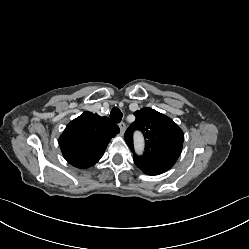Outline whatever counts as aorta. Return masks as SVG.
I'll use <instances>...</instances> for the list:
<instances>
[{"label":"aorta","instance_id":"aorta-1","mask_svg":"<svg viewBox=\"0 0 249 249\" xmlns=\"http://www.w3.org/2000/svg\"><path fill=\"white\" fill-rule=\"evenodd\" d=\"M143 147H144V143H143V139L141 136H138L135 139V150L137 153H141L143 151Z\"/></svg>","mask_w":249,"mask_h":249}]
</instances>
